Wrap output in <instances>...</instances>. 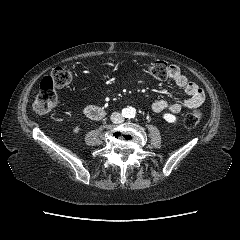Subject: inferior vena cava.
I'll use <instances>...</instances> for the list:
<instances>
[{"label":"inferior vena cava","instance_id":"602c4592","mask_svg":"<svg viewBox=\"0 0 240 240\" xmlns=\"http://www.w3.org/2000/svg\"><path fill=\"white\" fill-rule=\"evenodd\" d=\"M111 120L115 124L122 123L124 121L123 116L119 112H114L111 115Z\"/></svg>","mask_w":240,"mask_h":240}]
</instances>
